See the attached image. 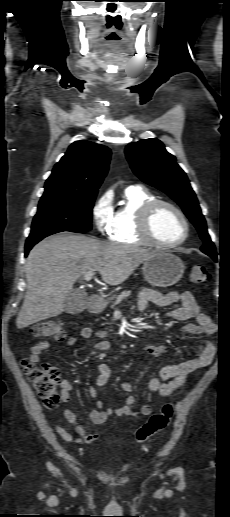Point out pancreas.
Masks as SVG:
<instances>
[{"mask_svg":"<svg viewBox=\"0 0 230 517\" xmlns=\"http://www.w3.org/2000/svg\"><path fill=\"white\" fill-rule=\"evenodd\" d=\"M131 295V291H123L120 295L117 296L115 302L111 306V308H114L115 305H118L123 299L127 298Z\"/></svg>","mask_w":230,"mask_h":517,"instance_id":"1","label":"pancreas"}]
</instances>
